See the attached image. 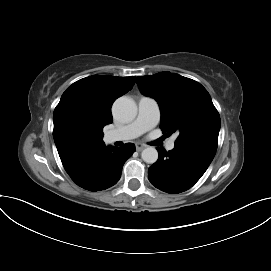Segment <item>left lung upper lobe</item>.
I'll return each mask as SVG.
<instances>
[{
  "label": "left lung upper lobe",
  "mask_w": 271,
  "mask_h": 271,
  "mask_svg": "<svg viewBox=\"0 0 271 271\" xmlns=\"http://www.w3.org/2000/svg\"><path fill=\"white\" fill-rule=\"evenodd\" d=\"M137 84L142 94L159 103L163 133H179L175 143L216 151L220 116L200 83L176 73L160 72L137 77Z\"/></svg>",
  "instance_id": "obj_1"
}]
</instances>
